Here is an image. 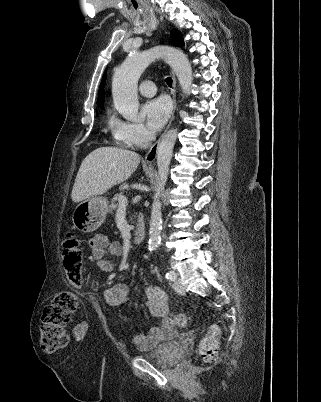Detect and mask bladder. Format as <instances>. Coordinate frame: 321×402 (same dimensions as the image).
I'll list each match as a JSON object with an SVG mask.
<instances>
[{
  "label": "bladder",
  "instance_id": "bladder-1",
  "mask_svg": "<svg viewBox=\"0 0 321 402\" xmlns=\"http://www.w3.org/2000/svg\"><path fill=\"white\" fill-rule=\"evenodd\" d=\"M179 336H175L177 339ZM141 357L160 362L166 366H172L179 360V355L176 353L173 342H165L158 345L151 352L140 353Z\"/></svg>",
  "mask_w": 321,
  "mask_h": 402
}]
</instances>
